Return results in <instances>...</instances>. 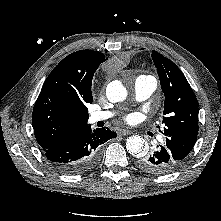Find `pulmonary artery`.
Here are the masks:
<instances>
[{
  "mask_svg": "<svg viewBox=\"0 0 221 221\" xmlns=\"http://www.w3.org/2000/svg\"><path fill=\"white\" fill-rule=\"evenodd\" d=\"M157 86L156 80L151 76H139L135 80L134 84V94L138 101H144L148 99ZM114 115L111 111H95L89 116L90 123H96L98 121L106 120Z\"/></svg>",
  "mask_w": 221,
  "mask_h": 221,
  "instance_id": "pulmonary-artery-1",
  "label": "pulmonary artery"
}]
</instances>
